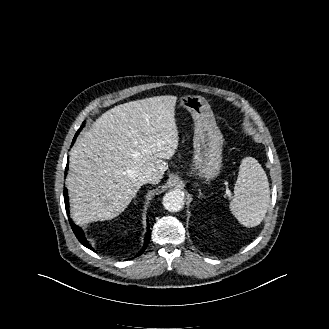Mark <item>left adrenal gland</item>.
<instances>
[{"mask_svg":"<svg viewBox=\"0 0 329 329\" xmlns=\"http://www.w3.org/2000/svg\"><path fill=\"white\" fill-rule=\"evenodd\" d=\"M198 191H199V196H198V197H199V198H200V197H203V193L201 192V189H198Z\"/></svg>","mask_w":329,"mask_h":329,"instance_id":"a2214340","label":"left adrenal gland"}]
</instances>
